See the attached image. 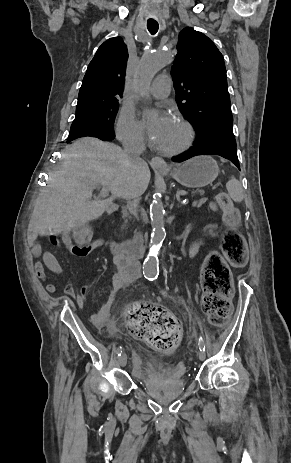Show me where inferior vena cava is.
Instances as JSON below:
<instances>
[{
	"instance_id": "obj_1",
	"label": "inferior vena cava",
	"mask_w": 291,
	"mask_h": 463,
	"mask_svg": "<svg viewBox=\"0 0 291 463\" xmlns=\"http://www.w3.org/2000/svg\"><path fill=\"white\" fill-rule=\"evenodd\" d=\"M122 144L124 147V152L131 161H140V155L145 150V144L139 136L124 140Z\"/></svg>"
}]
</instances>
